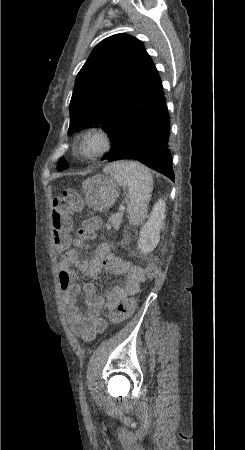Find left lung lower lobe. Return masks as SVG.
I'll return each mask as SVG.
<instances>
[{
  "mask_svg": "<svg viewBox=\"0 0 245 450\" xmlns=\"http://www.w3.org/2000/svg\"><path fill=\"white\" fill-rule=\"evenodd\" d=\"M163 88L145 108L123 149L102 159H134L162 173L172 181V156L169 149L170 116Z\"/></svg>",
  "mask_w": 245,
  "mask_h": 450,
  "instance_id": "1",
  "label": "left lung lower lobe"
}]
</instances>
